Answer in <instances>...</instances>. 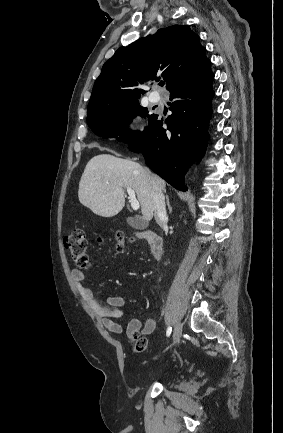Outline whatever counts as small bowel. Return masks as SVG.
I'll use <instances>...</instances> for the list:
<instances>
[{"label":"small bowel","mask_w":283,"mask_h":433,"mask_svg":"<svg viewBox=\"0 0 283 433\" xmlns=\"http://www.w3.org/2000/svg\"><path fill=\"white\" fill-rule=\"evenodd\" d=\"M87 275L80 269L72 271V278L77 287L81 298L102 318L105 328L113 333H122V326L116 321L124 315L122 307L126 303L123 296H112L106 298V303L100 302L93 294L92 290L84 284ZM156 320L148 317L144 322L139 318H132L126 328V333L130 337L141 333L144 336L154 332Z\"/></svg>","instance_id":"c3829d8e"}]
</instances>
